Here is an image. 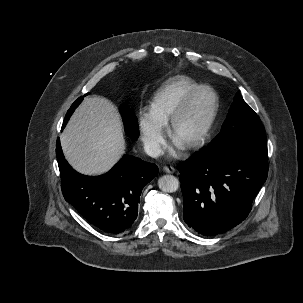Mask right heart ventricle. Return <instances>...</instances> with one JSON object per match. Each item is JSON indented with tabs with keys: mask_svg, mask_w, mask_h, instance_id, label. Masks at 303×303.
<instances>
[{
	"mask_svg": "<svg viewBox=\"0 0 303 303\" xmlns=\"http://www.w3.org/2000/svg\"><path fill=\"white\" fill-rule=\"evenodd\" d=\"M200 84L187 76H175L166 80L154 93L150 113L165 125L184 99Z\"/></svg>",
	"mask_w": 303,
	"mask_h": 303,
	"instance_id": "obj_1",
	"label": "right heart ventricle"
}]
</instances>
